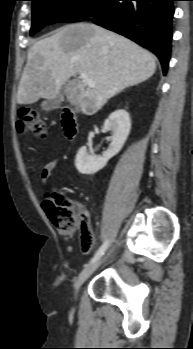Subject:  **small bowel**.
<instances>
[{
	"instance_id": "1",
	"label": "small bowel",
	"mask_w": 193,
	"mask_h": 349,
	"mask_svg": "<svg viewBox=\"0 0 193 349\" xmlns=\"http://www.w3.org/2000/svg\"><path fill=\"white\" fill-rule=\"evenodd\" d=\"M58 160L52 159L48 161L42 169V180L44 183L48 182L53 175V172L57 166ZM81 214L83 218V228H82V247L85 252H87L91 245V236L88 232V221L89 215L85 208L81 209ZM65 241H69V236H64Z\"/></svg>"
}]
</instances>
